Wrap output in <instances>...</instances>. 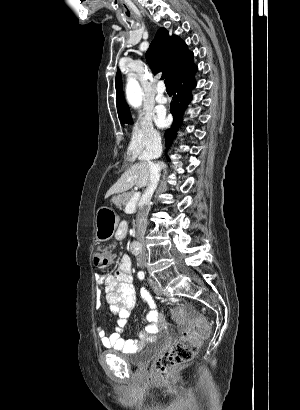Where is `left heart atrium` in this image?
<instances>
[{
	"label": "left heart atrium",
	"mask_w": 300,
	"mask_h": 410,
	"mask_svg": "<svg viewBox=\"0 0 300 410\" xmlns=\"http://www.w3.org/2000/svg\"><path fill=\"white\" fill-rule=\"evenodd\" d=\"M158 123H159V125H162V124L164 123V116H163V115H161V116L158 118Z\"/></svg>",
	"instance_id": "left-heart-atrium-1"
}]
</instances>
